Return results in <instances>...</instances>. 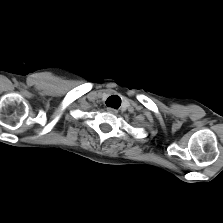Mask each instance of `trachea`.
I'll list each match as a JSON object with an SVG mask.
<instances>
[{
    "mask_svg": "<svg viewBox=\"0 0 223 223\" xmlns=\"http://www.w3.org/2000/svg\"><path fill=\"white\" fill-rule=\"evenodd\" d=\"M121 104V99L117 95H112L106 100V105L118 109Z\"/></svg>",
    "mask_w": 223,
    "mask_h": 223,
    "instance_id": "obj_1",
    "label": "trachea"
}]
</instances>
